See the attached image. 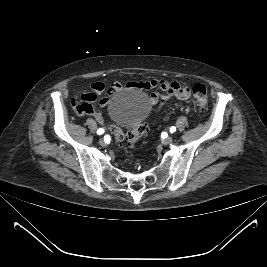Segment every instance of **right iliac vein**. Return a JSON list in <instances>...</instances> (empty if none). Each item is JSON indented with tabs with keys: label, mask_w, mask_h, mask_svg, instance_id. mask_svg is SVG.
Masks as SVG:
<instances>
[{
	"label": "right iliac vein",
	"mask_w": 267,
	"mask_h": 267,
	"mask_svg": "<svg viewBox=\"0 0 267 267\" xmlns=\"http://www.w3.org/2000/svg\"><path fill=\"white\" fill-rule=\"evenodd\" d=\"M99 143H100L101 146H106V142H105V140L103 138L99 139Z\"/></svg>",
	"instance_id": "obj_1"
}]
</instances>
